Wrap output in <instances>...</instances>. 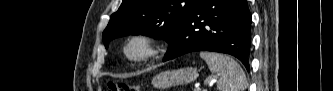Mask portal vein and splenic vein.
Returning <instances> with one entry per match:
<instances>
[{"mask_svg":"<svg viewBox=\"0 0 333 91\" xmlns=\"http://www.w3.org/2000/svg\"><path fill=\"white\" fill-rule=\"evenodd\" d=\"M210 82V80H205V84L206 83H209ZM199 90V86H195V89H194V91H198Z\"/></svg>","mask_w":333,"mask_h":91,"instance_id":"portal-vein-and-splenic-vein-1","label":"portal vein and splenic vein"}]
</instances>
